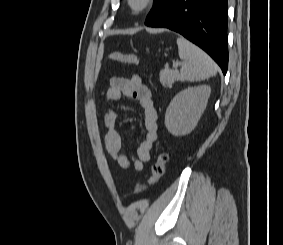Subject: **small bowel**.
Segmentation results:
<instances>
[{"label":"small bowel","mask_w":283,"mask_h":245,"mask_svg":"<svg viewBox=\"0 0 283 245\" xmlns=\"http://www.w3.org/2000/svg\"><path fill=\"white\" fill-rule=\"evenodd\" d=\"M122 97L138 101L143 112L144 137L135 155H126L122 151V135L117 129V111L114 108L104 114L105 125L104 144L111 158L122 168L131 166L137 171L143 169L144 163L151 158V149L157 141L158 112L154 106L149 88L143 84L137 75L131 77H113L107 91V99L114 105ZM134 128V126H132Z\"/></svg>","instance_id":"obj_1"}]
</instances>
